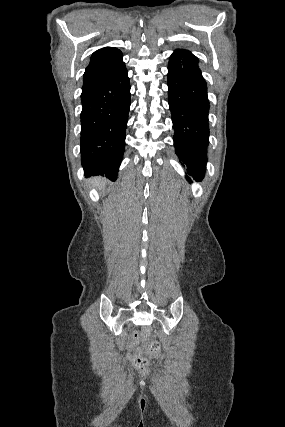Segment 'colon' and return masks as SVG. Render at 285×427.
Wrapping results in <instances>:
<instances>
[{"instance_id":"5ec220e1","label":"colon","mask_w":285,"mask_h":427,"mask_svg":"<svg viewBox=\"0 0 285 427\" xmlns=\"http://www.w3.org/2000/svg\"><path fill=\"white\" fill-rule=\"evenodd\" d=\"M161 348L158 342H151L148 346V354L155 356L160 354ZM133 365L139 370H145L147 366L146 358L141 354V350L138 348L133 353L132 358Z\"/></svg>"}]
</instances>
